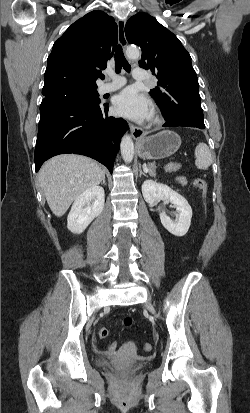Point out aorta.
Instances as JSON below:
<instances>
[{
  "label": "aorta",
  "mask_w": 250,
  "mask_h": 413,
  "mask_svg": "<svg viewBox=\"0 0 250 413\" xmlns=\"http://www.w3.org/2000/svg\"><path fill=\"white\" fill-rule=\"evenodd\" d=\"M126 55L130 59H137L140 56V51L138 48L128 47L126 50ZM120 149L123 160L126 163L132 162L134 156V144L129 135L126 134L123 136Z\"/></svg>",
  "instance_id": "1"
}]
</instances>
